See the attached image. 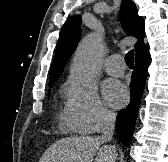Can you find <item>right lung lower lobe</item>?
Returning a JSON list of instances; mask_svg holds the SVG:
<instances>
[{"instance_id": "right-lung-lower-lobe-1", "label": "right lung lower lobe", "mask_w": 168, "mask_h": 162, "mask_svg": "<svg viewBox=\"0 0 168 162\" xmlns=\"http://www.w3.org/2000/svg\"><path fill=\"white\" fill-rule=\"evenodd\" d=\"M149 59V52H145L136 57V65L132 73V80L130 84L131 102L128 107L122 110L117 116V137L121 143L127 146L130 144L134 132L138 108L144 91Z\"/></svg>"}]
</instances>
